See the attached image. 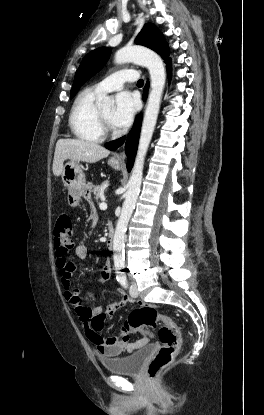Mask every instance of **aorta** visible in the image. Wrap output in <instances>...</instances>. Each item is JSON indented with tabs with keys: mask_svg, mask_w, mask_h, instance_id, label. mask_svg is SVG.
Returning <instances> with one entry per match:
<instances>
[{
	"mask_svg": "<svg viewBox=\"0 0 264 415\" xmlns=\"http://www.w3.org/2000/svg\"><path fill=\"white\" fill-rule=\"evenodd\" d=\"M135 62L149 70L151 90L144 114L137 156L128 182L122 211L118 219L113 239V259L115 268H123L125 264L124 243L128 222L135 208L140 192L145 156L152 139L160 109V101L165 86L166 74L162 59L153 51L141 46H126L115 54V63ZM101 108H110L114 101L102 95L97 100Z\"/></svg>",
	"mask_w": 264,
	"mask_h": 415,
	"instance_id": "obj_1",
	"label": "aorta"
}]
</instances>
